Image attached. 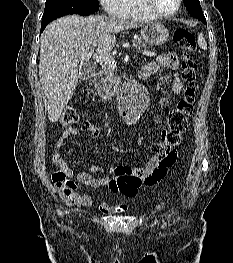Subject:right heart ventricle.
Wrapping results in <instances>:
<instances>
[{
    "label": "right heart ventricle",
    "instance_id": "right-heart-ventricle-1",
    "mask_svg": "<svg viewBox=\"0 0 233 263\" xmlns=\"http://www.w3.org/2000/svg\"><path fill=\"white\" fill-rule=\"evenodd\" d=\"M123 19L151 21L156 19L143 5L142 0H120L114 13Z\"/></svg>",
    "mask_w": 233,
    "mask_h": 263
}]
</instances>
